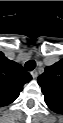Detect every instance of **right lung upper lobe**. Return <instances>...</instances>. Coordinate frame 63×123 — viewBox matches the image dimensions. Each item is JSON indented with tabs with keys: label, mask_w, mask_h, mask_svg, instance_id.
Here are the masks:
<instances>
[{
	"label": "right lung upper lobe",
	"mask_w": 63,
	"mask_h": 123,
	"mask_svg": "<svg viewBox=\"0 0 63 123\" xmlns=\"http://www.w3.org/2000/svg\"><path fill=\"white\" fill-rule=\"evenodd\" d=\"M0 74V96L3 104L13 102L32 77L23 67L4 57Z\"/></svg>",
	"instance_id": "cb5924a9"
}]
</instances>
